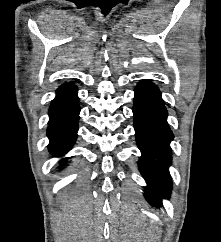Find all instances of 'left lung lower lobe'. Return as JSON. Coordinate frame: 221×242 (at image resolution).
<instances>
[{"instance_id": "obj_1", "label": "left lung lower lobe", "mask_w": 221, "mask_h": 242, "mask_svg": "<svg viewBox=\"0 0 221 242\" xmlns=\"http://www.w3.org/2000/svg\"><path fill=\"white\" fill-rule=\"evenodd\" d=\"M133 114L136 142L142 152L139 170L148 184L145 197L151 205L160 207L161 197L168 198L172 188L168 165L173 133L166 121L161 93L149 81H141L136 86Z\"/></svg>"}]
</instances>
